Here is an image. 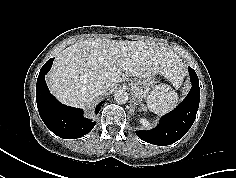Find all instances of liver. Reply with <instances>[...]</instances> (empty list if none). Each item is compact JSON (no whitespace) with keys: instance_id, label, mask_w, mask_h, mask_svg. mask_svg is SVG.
<instances>
[{"instance_id":"obj_1","label":"liver","mask_w":236,"mask_h":178,"mask_svg":"<svg viewBox=\"0 0 236 178\" xmlns=\"http://www.w3.org/2000/svg\"><path fill=\"white\" fill-rule=\"evenodd\" d=\"M182 72L180 58L163 44L88 39L69 46L55 58L47 84L62 103L85 107L98 95L99 81L111 88L125 76L159 74L172 81Z\"/></svg>"}]
</instances>
